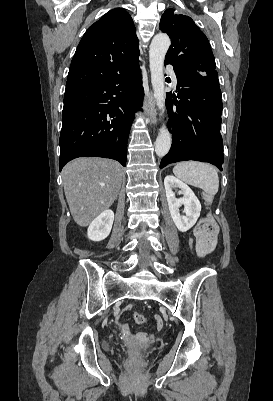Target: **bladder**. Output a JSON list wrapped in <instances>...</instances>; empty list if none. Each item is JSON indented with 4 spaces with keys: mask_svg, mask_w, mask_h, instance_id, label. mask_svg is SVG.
Returning <instances> with one entry per match:
<instances>
[{
    "mask_svg": "<svg viewBox=\"0 0 273 401\" xmlns=\"http://www.w3.org/2000/svg\"><path fill=\"white\" fill-rule=\"evenodd\" d=\"M105 347H106L107 350H111V349H113L114 344L112 342H110V341H106L105 342Z\"/></svg>",
    "mask_w": 273,
    "mask_h": 401,
    "instance_id": "1",
    "label": "bladder"
}]
</instances>
